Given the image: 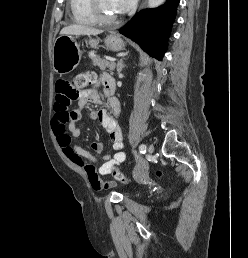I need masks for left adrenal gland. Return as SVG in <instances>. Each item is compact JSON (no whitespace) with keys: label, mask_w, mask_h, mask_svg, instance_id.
<instances>
[{"label":"left adrenal gland","mask_w":248,"mask_h":258,"mask_svg":"<svg viewBox=\"0 0 248 258\" xmlns=\"http://www.w3.org/2000/svg\"><path fill=\"white\" fill-rule=\"evenodd\" d=\"M125 59H126V58L120 59V61H118V63H117L116 67H117L118 73H120L121 70H122V68L125 67V64H124V60H125Z\"/></svg>","instance_id":"left-adrenal-gland-1"}]
</instances>
